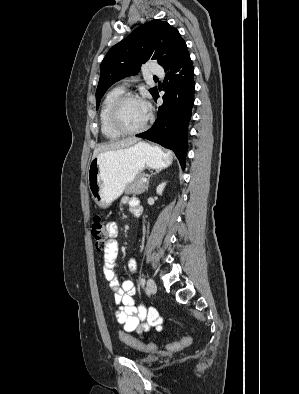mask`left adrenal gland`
<instances>
[{
    "label": "left adrenal gland",
    "mask_w": 299,
    "mask_h": 394,
    "mask_svg": "<svg viewBox=\"0 0 299 394\" xmlns=\"http://www.w3.org/2000/svg\"><path fill=\"white\" fill-rule=\"evenodd\" d=\"M160 172V170H156L155 172H152L151 173V175L148 177V181H147V185H146V190L148 191V187H149V180H150V178L153 176V175H155V174H157V173H159Z\"/></svg>",
    "instance_id": "1"
}]
</instances>
